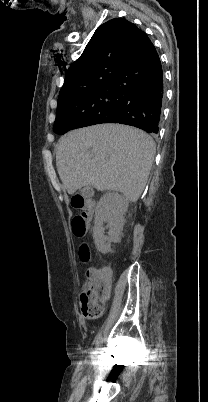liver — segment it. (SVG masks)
<instances>
[{
  "mask_svg": "<svg viewBox=\"0 0 208 402\" xmlns=\"http://www.w3.org/2000/svg\"><path fill=\"white\" fill-rule=\"evenodd\" d=\"M155 144L145 132L122 124H98L60 138L56 166L68 194L84 186L122 192L139 200L148 180Z\"/></svg>",
  "mask_w": 208,
  "mask_h": 402,
  "instance_id": "1",
  "label": "liver"
}]
</instances>
